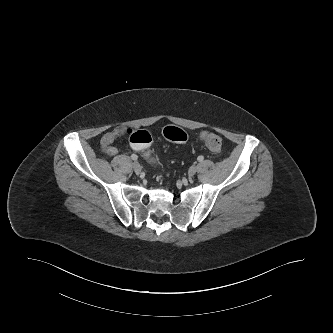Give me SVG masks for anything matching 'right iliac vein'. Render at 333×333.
<instances>
[{"label": "right iliac vein", "mask_w": 333, "mask_h": 333, "mask_svg": "<svg viewBox=\"0 0 333 333\" xmlns=\"http://www.w3.org/2000/svg\"><path fill=\"white\" fill-rule=\"evenodd\" d=\"M132 166L136 173H139L141 171V165L138 162H134Z\"/></svg>", "instance_id": "1"}]
</instances>
